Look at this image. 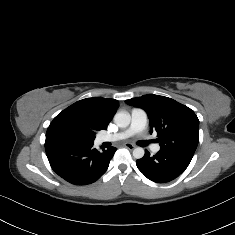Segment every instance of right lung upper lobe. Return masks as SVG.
Segmentation results:
<instances>
[{"mask_svg":"<svg viewBox=\"0 0 235 235\" xmlns=\"http://www.w3.org/2000/svg\"><path fill=\"white\" fill-rule=\"evenodd\" d=\"M118 107L119 101L102 97L77 101L53 119L47 129L46 141L62 136L67 125H76L95 136L97 131L107 129Z\"/></svg>","mask_w":235,"mask_h":235,"instance_id":"right-lung-upper-lobe-1","label":"right lung upper lobe"}]
</instances>
